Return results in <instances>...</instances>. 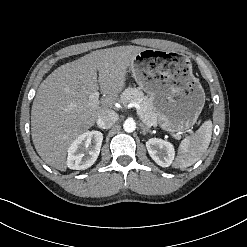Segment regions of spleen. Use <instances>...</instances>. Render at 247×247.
I'll list each match as a JSON object with an SVG mask.
<instances>
[{
  "label": "spleen",
  "mask_w": 247,
  "mask_h": 247,
  "mask_svg": "<svg viewBox=\"0 0 247 247\" xmlns=\"http://www.w3.org/2000/svg\"><path fill=\"white\" fill-rule=\"evenodd\" d=\"M212 135V121H205L193 134L183 139L179 145L174 168L184 169L196 163L209 147Z\"/></svg>",
  "instance_id": "1"
}]
</instances>
